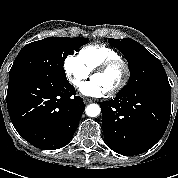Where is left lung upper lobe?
<instances>
[{
	"label": "left lung upper lobe",
	"mask_w": 178,
	"mask_h": 178,
	"mask_svg": "<svg viewBox=\"0 0 178 178\" xmlns=\"http://www.w3.org/2000/svg\"><path fill=\"white\" fill-rule=\"evenodd\" d=\"M108 42L123 53L128 61L130 79L122 91L144 85L170 88L167 74L161 62L140 43L131 38L122 40L109 38Z\"/></svg>",
	"instance_id": "obj_1"
}]
</instances>
